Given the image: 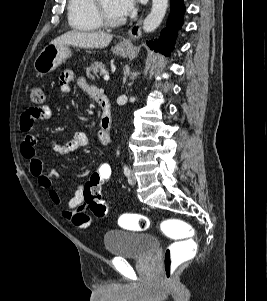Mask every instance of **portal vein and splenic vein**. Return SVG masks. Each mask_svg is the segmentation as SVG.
Listing matches in <instances>:
<instances>
[{
    "mask_svg": "<svg viewBox=\"0 0 267 301\" xmlns=\"http://www.w3.org/2000/svg\"><path fill=\"white\" fill-rule=\"evenodd\" d=\"M103 79H104L105 81H108V80L110 79V76H109V74H108V73H106V74L104 75Z\"/></svg>",
    "mask_w": 267,
    "mask_h": 301,
    "instance_id": "18ae733b",
    "label": "portal vein and splenic vein"
}]
</instances>
